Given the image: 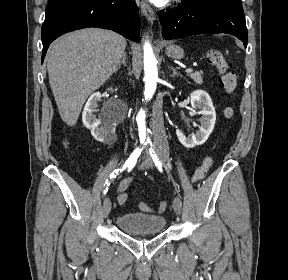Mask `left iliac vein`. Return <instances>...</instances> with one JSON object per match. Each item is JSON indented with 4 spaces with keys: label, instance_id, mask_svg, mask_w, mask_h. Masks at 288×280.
I'll return each instance as SVG.
<instances>
[{
    "label": "left iliac vein",
    "instance_id": "left-iliac-vein-1",
    "mask_svg": "<svg viewBox=\"0 0 288 280\" xmlns=\"http://www.w3.org/2000/svg\"><path fill=\"white\" fill-rule=\"evenodd\" d=\"M143 165L145 167H148V168H151L153 166V162H152V159L147 156L146 157V160L144 161ZM173 208H174V211L176 214L180 215L181 214V211H182V203H179L177 200H176V197L174 198V201H173Z\"/></svg>",
    "mask_w": 288,
    "mask_h": 280
}]
</instances>
